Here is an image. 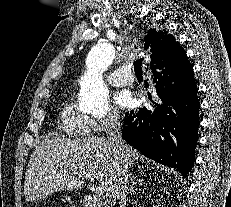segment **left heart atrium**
<instances>
[{"instance_id": "left-heart-atrium-1", "label": "left heart atrium", "mask_w": 231, "mask_h": 207, "mask_svg": "<svg viewBox=\"0 0 231 207\" xmlns=\"http://www.w3.org/2000/svg\"><path fill=\"white\" fill-rule=\"evenodd\" d=\"M114 102L120 109H125L131 105L132 96L128 91H121L115 96Z\"/></svg>"}]
</instances>
